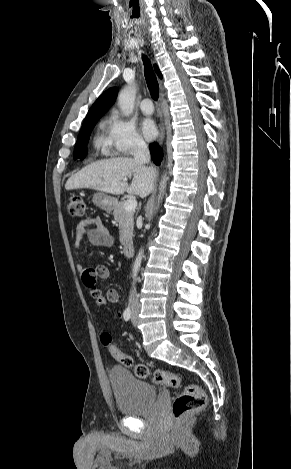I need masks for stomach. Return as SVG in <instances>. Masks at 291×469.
Instances as JSON below:
<instances>
[{
  "instance_id": "stomach-1",
  "label": "stomach",
  "mask_w": 291,
  "mask_h": 469,
  "mask_svg": "<svg viewBox=\"0 0 291 469\" xmlns=\"http://www.w3.org/2000/svg\"><path fill=\"white\" fill-rule=\"evenodd\" d=\"M94 204L102 210L110 212L117 204V199L104 192H97L93 195Z\"/></svg>"
}]
</instances>
